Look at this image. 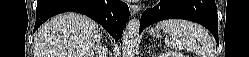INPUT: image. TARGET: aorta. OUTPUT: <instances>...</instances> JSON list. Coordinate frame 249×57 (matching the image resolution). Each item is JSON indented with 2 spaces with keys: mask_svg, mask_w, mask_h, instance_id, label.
<instances>
[{
  "mask_svg": "<svg viewBox=\"0 0 249 57\" xmlns=\"http://www.w3.org/2000/svg\"><path fill=\"white\" fill-rule=\"evenodd\" d=\"M140 20L131 19L123 32L122 36V55L123 57H135L138 47Z\"/></svg>",
  "mask_w": 249,
  "mask_h": 57,
  "instance_id": "762f6f07",
  "label": "aorta"
}]
</instances>
